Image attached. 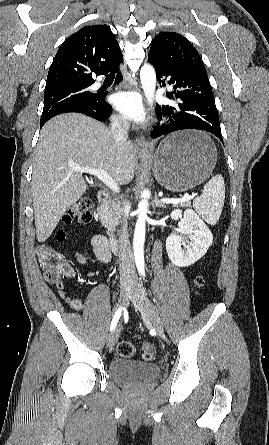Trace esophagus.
Returning a JSON list of instances; mask_svg holds the SVG:
<instances>
[{"label":"esophagus","instance_id":"34e87169","mask_svg":"<svg viewBox=\"0 0 269 445\" xmlns=\"http://www.w3.org/2000/svg\"><path fill=\"white\" fill-rule=\"evenodd\" d=\"M125 87L126 88H130V89H134V90H139V87H138L137 84L131 83V82H128V81L125 82ZM135 147L137 149H144L146 147L145 139H144V137L142 135H139V136L136 137V139H135Z\"/></svg>","mask_w":269,"mask_h":445}]
</instances>
